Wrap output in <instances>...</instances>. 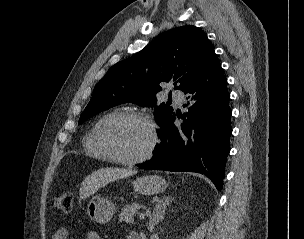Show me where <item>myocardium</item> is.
<instances>
[{
    "instance_id": "1",
    "label": "myocardium",
    "mask_w": 304,
    "mask_h": 239,
    "mask_svg": "<svg viewBox=\"0 0 304 239\" xmlns=\"http://www.w3.org/2000/svg\"><path fill=\"white\" fill-rule=\"evenodd\" d=\"M129 119L139 120L141 122H144L145 124H147L149 126L150 131H151V141H150L148 148L145 150V152L143 154H141L138 157H134V158H124V157L120 156L115 151V149L112 147V145L110 144L109 139H108V131L113 125H115L121 121L129 120ZM97 138H98L99 145L107 153V155L110 157V159L113 162H116L121 165H136V164H139V163H142V162L148 160L152 156V154L158 144V140H159L157 128H156L155 124L153 123V121L145 114H143L141 112H136V111H122V112H118V113L112 115L111 117H109L101 125V127L98 131Z\"/></svg>"
}]
</instances>
